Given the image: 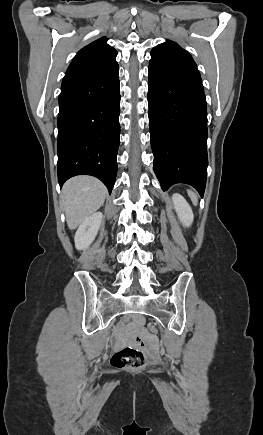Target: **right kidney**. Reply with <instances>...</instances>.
<instances>
[{"label": "right kidney", "instance_id": "obj_1", "mask_svg": "<svg viewBox=\"0 0 263 435\" xmlns=\"http://www.w3.org/2000/svg\"><path fill=\"white\" fill-rule=\"evenodd\" d=\"M103 219L101 212H96L86 218L78 227L74 242L78 250L87 249L95 239Z\"/></svg>", "mask_w": 263, "mask_h": 435}]
</instances>
